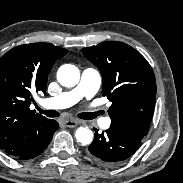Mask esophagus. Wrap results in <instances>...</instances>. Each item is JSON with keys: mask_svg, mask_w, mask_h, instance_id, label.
I'll return each mask as SVG.
<instances>
[{"mask_svg": "<svg viewBox=\"0 0 183 183\" xmlns=\"http://www.w3.org/2000/svg\"><path fill=\"white\" fill-rule=\"evenodd\" d=\"M63 123L65 126L73 128V127H76L77 125H79L81 123V121L76 120V119H68V120H65Z\"/></svg>", "mask_w": 183, "mask_h": 183, "instance_id": "1", "label": "esophagus"}]
</instances>
